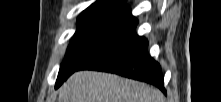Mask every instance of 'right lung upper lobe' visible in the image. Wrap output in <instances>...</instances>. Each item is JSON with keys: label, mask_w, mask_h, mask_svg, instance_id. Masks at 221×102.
<instances>
[{"label": "right lung upper lobe", "mask_w": 221, "mask_h": 102, "mask_svg": "<svg viewBox=\"0 0 221 102\" xmlns=\"http://www.w3.org/2000/svg\"><path fill=\"white\" fill-rule=\"evenodd\" d=\"M94 4H105L107 6L115 8H128V6L124 4L122 0H98Z\"/></svg>", "instance_id": "right-lung-upper-lobe-1"}]
</instances>
